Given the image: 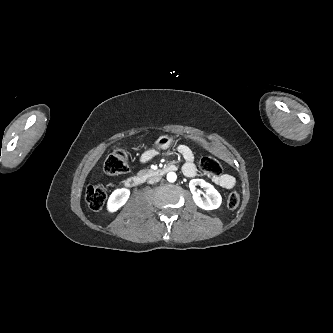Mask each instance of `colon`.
<instances>
[{
  "instance_id": "colon-1",
  "label": "colon",
  "mask_w": 333,
  "mask_h": 333,
  "mask_svg": "<svg viewBox=\"0 0 333 333\" xmlns=\"http://www.w3.org/2000/svg\"><path fill=\"white\" fill-rule=\"evenodd\" d=\"M129 165L130 161L126 151L123 149H116L107 157L104 163V170L109 175H117L126 173L129 170ZM200 166L205 172L214 176L221 174L222 171L220 163L210 156L202 157L200 160ZM85 198L89 207L94 211H98L104 206L107 193L102 186H89L85 192ZM239 203L240 195L238 192H231L227 198L228 208L236 209L239 206Z\"/></svg>"
}]
</instances>
